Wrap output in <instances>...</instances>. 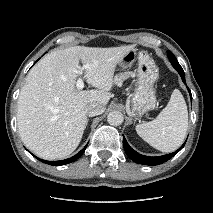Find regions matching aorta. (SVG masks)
Here are the masks:
<instances>
[{"label":"aorta","mask_w":213,"mask_h":213,"mask_svg":"<svg viewBox=\"0 0 213 213\" xmlns=\"http://www.w3.org/2000/svg\"><path fill=\"white\" fill-rule=\"evenodd\" d=\"M107 121L112 126H118L123 123L124 116L119 111H112L107 115Z\"/></svg>","instance_id":"1"}]
</instances>
